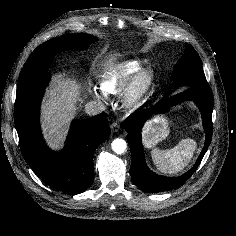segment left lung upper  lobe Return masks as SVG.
Returning <instances> with one entry per match:
<instances>
[{"mask_svg": "<svg viewBox=\"0 0 236 236\" xmlns=\"http://www.w3.org/2000/svg\"><path fill=\"white\" fill-rule=\"evenodd\" d=\"M172 79L174 85L186 88L208 84L201 59L191 45L186 44L185 54L176 64Z\"/></svg>", "mask_w": 236, "mask_h": 236, "instance_id": "obj_1", "label": "left lung upper lobe"}]
</instances>
